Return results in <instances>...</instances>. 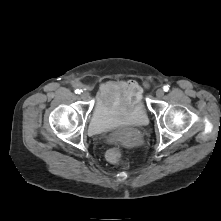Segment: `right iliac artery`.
<instances>
[{"label":"right iliac artery","instance_id":"right-iliac-artery-1","mask_svg":"<svg viewBox=\"0 0 221 221\" xmlns=\"http://www.w3.org/2000/svg\"><path fill=\"white\" fill-rule=\"evenodd\" d=\"M80 92H82V90H79V89H76V90H75V93H76V94H80Z\"/></svg>","mask_w":221,"mask_h":221}]
</instances>
